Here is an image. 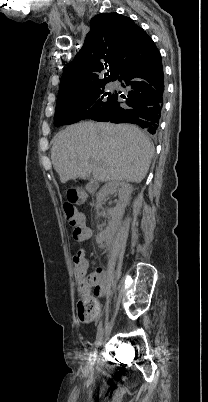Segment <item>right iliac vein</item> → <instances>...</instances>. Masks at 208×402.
<instances>
[{"label":"right iliac vein","instance_id":"obj_1","mask_svg":"<svg viewBox=\"0 0 208 402\" xmlns=\"http://www.w3.org/2000/svg\"><path fill=\"white\" fill-rule=\"evenodd\" d=\"M103 335H104V329H102L101 332L99 333V335H98V337H97V340H96V342H95V347H94V349H93V351H92V354H91V357H90V359H89V361H88L87 368H88L89 370H92V369H93V366H94L95 361H96V358H97V353H98L97 348H98V347L101 345V343H102Z\"/></svg>","mask_w":208,"mask_h":402}]
</instances>
